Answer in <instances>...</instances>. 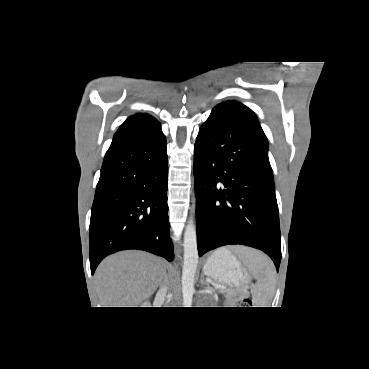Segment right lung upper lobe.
<instances>
[{
	"label": "right lung upper lobe",
	"instance_id": "cb5924a9",
	"mask_svg": "<svg viewBox=\"0 0 369 369\" xmlns=\"http://www.w3.org/2000/svg\"><path fill=\"white\" fill-rule=\"evenodd\" d=\"M159 129H161V125L154 117L148 114H135L127 118L120 126L114 135L111 146L153 133Z\"/></svg>",
	"mask_w": 369,
	"mask_h": 369
}]
</instances>
